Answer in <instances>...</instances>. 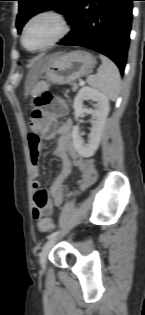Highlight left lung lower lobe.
Here are the masks:
<instances>
[{
    "label": "left lung lower lobe",
    "instance_id": "obj_1",
    "mask_svg": "<svg viewBox=\"0 0 145 315\" xmlns=\"http://www.w3.org/2000/svg\"><path fill=\"white\" fill-rule=\"evenodd\" d=\"M134 0H77L69 16L72 30L59 45L83 46L113 60L121 74L127 60Z\"/></svg>",
    "mask_w": 145,
    "mask_h": 315
}]
</instances>
